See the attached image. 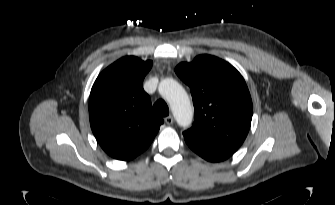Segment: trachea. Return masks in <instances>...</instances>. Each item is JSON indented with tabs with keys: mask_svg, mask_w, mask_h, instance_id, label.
I'll return each instance as SVG.
<instances>
[{
	"mask_svg": "<svg viewBox=\"0 0 335 205\" xmlns=\"http://www.w3.org/2000/svg\"><path fill=\"white\" fill-rule=\"evenodd\" d=\"M153 110L160 116H168L169 115V108L166 104V102L162 99L158 100L154 105H153Z\"/></svg>",
	"mask_w": 335,
	"mask_h": 205,
	"instance_id": "3493384b",
	"label": "trachea"
}]
</instances>
